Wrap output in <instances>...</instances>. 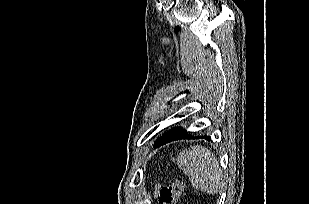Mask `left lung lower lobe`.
<instances>
[{"label":"left lung lower lobe","instance_id":"left-lung-lower-lobe-1","mask_svg":"<svg viewBox=\"0 0 309 204\" xmlns=\"http://www.w3.org/2000/svg\"><path fill=\"white\" fill-rule=\"evenodd\" d=\"M192 137L190 134H187V131L182 130L180 127L172 128L171 131L164 134L159 141L155 143V147H159L165 143L171 142L173 140H179L183 138H190ZM196 138V137H194ZM199 138V137H197ZM202 138H205L206 140H211L208 136H202Z\"/></svg>","mask_w":309,"mask_h":204}]
</instances>
